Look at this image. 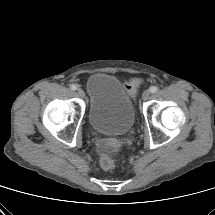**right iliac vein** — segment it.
<instances>
[{"mask_svg": "<svg viewBox=\"0 0 215 215\" xmlns=\"http://www.w3.org/2000/svg\"><path fill=\"white\" fill-rule=\"evenodd\" d=\"M77 94H78V96L81 97V98H83L84 95H85V94H84V91H83L82 89H80V88L77 89Z\"/></svg>", "mask_w": 215, "mask_h": 215, "instance_id": "obj_1", "label": "right iliac vein"}]
</instances>
